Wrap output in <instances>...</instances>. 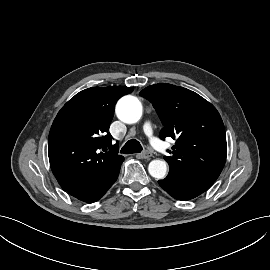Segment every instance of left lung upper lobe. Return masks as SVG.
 Returning <instances> with one entry per match:
<instances>
[{
  "instance_id": "left-lung-upper-lobe-1",
  "label": "left lung upper lobe",
  "mask_w": 270,
  "mask_h": 270,
  "mask_svg": "<svg viewBox=\"0 0 270 270\" xmlns=\"http://www.w3.org/2000/svg\"><path fill=\"white\" fill-rule=\"evenodd\" d=\"M154 106L164 127L159 136L176 139L169 171L193 172L216 180L226 161L223 121L216 108L197 93L171 84H154L140 92Z\"/></svg>"
}]
</instances>
